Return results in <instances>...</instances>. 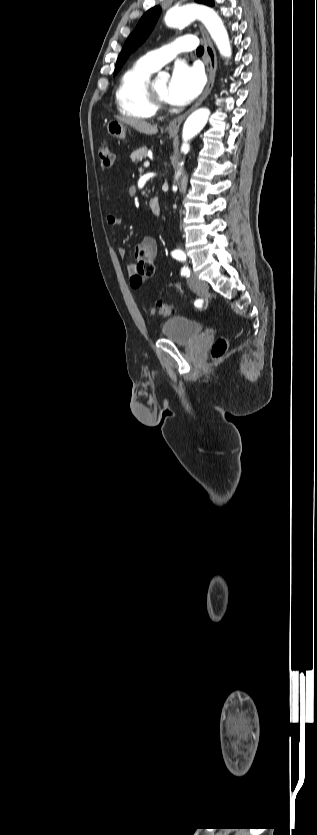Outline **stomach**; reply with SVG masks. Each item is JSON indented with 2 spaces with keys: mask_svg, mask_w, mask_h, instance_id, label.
Wrapping results in <instances>:
<instances>
[{
  "mask_svg": "<svg viewBox=\"0 0 317 835\" xmlns=\"http://www.w3.org/2000/svg\"><path fill=\"white\" fill-rule=\"evenodd\" d=\"M126 129L127 126L120 120H111L106 125L107 133L117 139H124L126 136ZM176 133L169 131V135L172 137Z\"/></svg>",
  "mask_w": 317,
  "mask_h": 835,
  "instance_id": "1",
  "label": "stomach"
}]
</instances>
